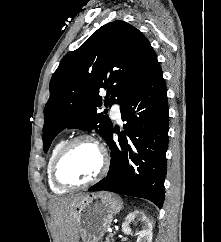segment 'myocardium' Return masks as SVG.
<instances>
[{"label":"myocardium","instance_id":"f54148a6","mask_svg":"<svg viewBox=\"0 0 221 242\" xmlns=\"http://www.w3.org/2000/svg\"><path fill=\"white\" fill-rule=\"evenodd\" d=\"M81 141H89L97 146V148L100 152V157H101L99 169L96 172V174L87 181L80 182V183H69V182L63 181L59 175L60 165H61L62 161L64 160V158L66 157L67 153L70 151V149L76 143L81 142ZM108 166H109V158H108V153H107V150L105 149V147L94 137L87 135V134H80V135L74 136L70 140L66 141L65 144L62 146V148L59 150V152L53 162L52 169H51L52 179L59 187L64 188V189L85 188V187H88V186L96 183L97 181H99L107 172Z\"/></svg>","mask_w":221,"mask_h":242}]
</instances>
